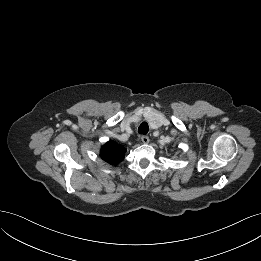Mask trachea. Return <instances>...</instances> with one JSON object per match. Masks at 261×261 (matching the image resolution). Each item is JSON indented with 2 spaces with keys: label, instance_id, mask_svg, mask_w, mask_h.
<instances>
[{
  "label": "trachea",
  "instance_id": "3493384b",
  "mask_svg": "<svg viewBox=\"0 0 261 261\" xmlns=\"http://www.w3.org/2000/svg\"><path fill=\"white\" fill-rule=\"evenodd\" d=\"M148 131H149V126H148L147 122H142L138 128V133L146 135L148 133Z\"/></svg>",
  "mask_w": 261,
  "mask_h": 261
}]
</instances>
